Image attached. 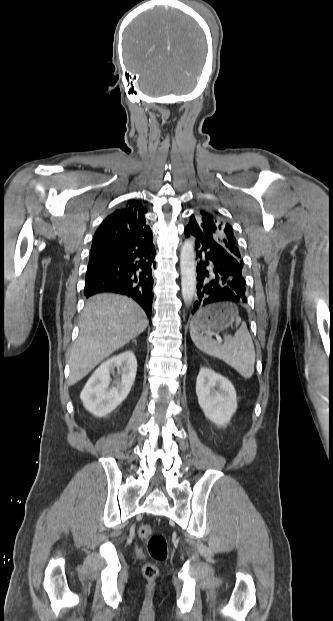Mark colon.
<instances>
[{
	"instance_id": "1",
	"label": "colon",
	"mask_w": 333,
	"mask_h": 621,
	"mask_svg": "<svg viewBox=\"0 0 333 621\" xmlns=\"http://www.w3.org/2000/svg\"><path fill=\"white\" fill-rule=\"evenodd\" d=\"M139 537L147 542L148 552L155 561L162 562L167 558V540L162 534L154 533L153 528L143 524L138 529ZM142 574L147 580H154L158 575V567L153 563H147L142 567Z\"/></svg>"
}]
</instances>
